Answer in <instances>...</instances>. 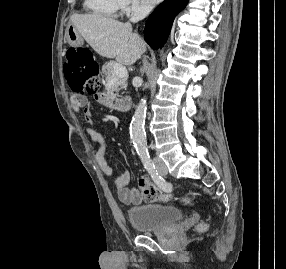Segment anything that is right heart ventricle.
Here are the masks:
<instances>
[{
  "mask_svg": "<svg viewBox=\"0 0 286 269\" xmlns=\"http://www.w3.org/2000/svg\"><path fill=\"white\" fill-rule=\"evenodd\" d=\"M85 10L102 18H117L121 10V0H84Z\"/></svg>",
  "mask_w": 286,
  "mask_h": 269,
  "instance_id": "1",
  "label": "right heart ventricle"
}]
</instances>
